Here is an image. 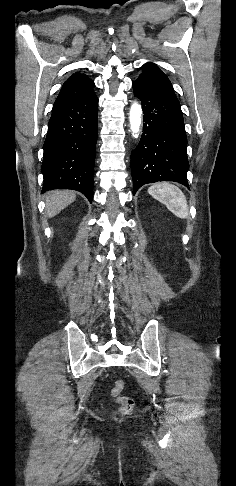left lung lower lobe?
I'll use <instances>...</instances> for the list:
<instances>
[{"label":"left lung lower lobe","instance_id":"0a47b994","mask_svg":"<svg viewBox=\"0 0 236 486\" xmlns=\"http://www.w3.org/2000/svg\"><path fill=\"white\" fill-rule=\"evenodd\" d=\"M134 94L143 109V133L131 153L133 195L147 183L187 182V137L183 115L176 95L138 77Z\"/></svg>","mask_w":236,"mask_h":486}]
</instances>
